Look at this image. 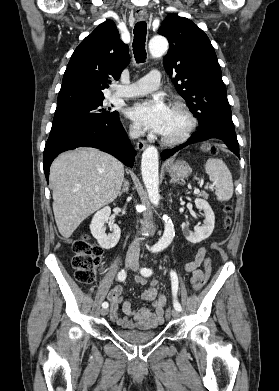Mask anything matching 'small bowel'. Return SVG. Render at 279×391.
Segmentation results:
<instances>
[{
	"label": "small bowel",
	"instance_id": "c3829d8e",
	"mask_svg": "<svg viewBox=\"0 0 279 391\" xmlns=\"http://www.w3.org/2000/svg\"><path fill=\"white\" fill-rule=\"evenodd\" d=\"M206 248H199L195 258L186 263L185 269L191 273V283L194 284L199 280L203 272L199 267L205 263ZM136 283L145 285L146 279L142 277L136 278ZM157 282L153 281L151 287L146 289L142 297L144 300L152 301V309L149 307H142L139 310H134L130 301H123V288L121 285L115 286L108 294L110 304V318L118 326L126 329L147 330L156 328L163 322L164 307L167 299L163 294L157 291ZM122 303V311L125 316L118 315V306Z\"/></svg>",
	"mask_w": 279,
	"mask_h": 391
}]
</instances>
